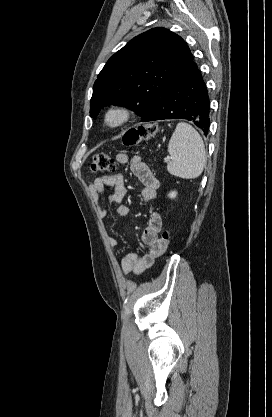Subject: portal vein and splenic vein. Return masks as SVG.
Wrapping results in <instances>:
<instances>
[{
  "instance_id": "portal-vein-and-splenic-vein-1",
  "label": "portal vein and splenic vein",
  "mask_w": 272,
  "mask_h": 417,
  "mask_svg": "<svg viewBox=\"0 0 272 417\" xmlns=\"http://www.w3.org/2000/svg\"><path fill=\"white\" fill-rule=\"evenodd\" d=\"M171 159V157L170 156H167L166 158H165V160L166 161H169Z\"/></svg>"
}]
</instances>
